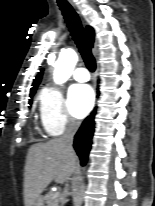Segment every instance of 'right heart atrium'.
<instances>
[{"mask_svg": "<svg viewBox=\"0 0 155 206\" xmlns=\"http://www.w3.org/2000/svg\"><path fill=\"white\" fill-rule=\"evenodd\" d=\"M40 119L45 131L53 136L78 126L62 92L55 87H48L41 94Z\"/></svg>", "mask_w": 155, "mask_h": 206, "instance_id": "obj_1", "label": "right heart atrium"}]
</instances>
